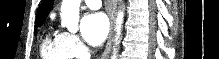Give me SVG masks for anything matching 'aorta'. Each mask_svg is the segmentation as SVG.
Masks as SVG:
<instances>
[{"mask_svg": "<svg viewBox=\"0 0 219 59\" xmlns=\"http://www.w3.org/2000/svg\"><path fill=\"white\" fill-rule=\"evenodd\" d=\"M81 0H62L61 4V23L70 32L75 33L78 31L79 24V8ZM124 13L122 11L118 12L116 18V38L115 44L119 43V38L121 35V27L123 23ZM117 49L114 48L111 59H117Z\"/></svg>", "mask_w": 219, "mask_h": 59, "instance_id": "obj_1", "label": "aorta"}]
</instances>
